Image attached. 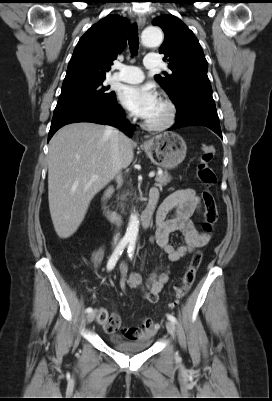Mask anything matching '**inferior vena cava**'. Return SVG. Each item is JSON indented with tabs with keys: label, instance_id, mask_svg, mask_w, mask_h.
I'll use <instances>...</instances> for the list:
<instances>
[{
	"label": "inferior vena cava",
	"instance_id": "obj_1",
	"mask_svg": "<svg viewBox=\"0 0 272 401\" xmlns=\"http://www.w3.org/2000/svg\"><path fill=\"white\" fill-rule=\"evenodd\" d=\"M107 134L110 136V150H111V159L113 165V171L116 175V180L118 184L121 183V175H120V160H119V142L121 139L127 138L123 133L119 132L118 129L114 127H107ZM114 243L118 242V236H114Z\"/></svg>",
	"mask_w": 272,
	"mask_h": 401
}]
</instances>
